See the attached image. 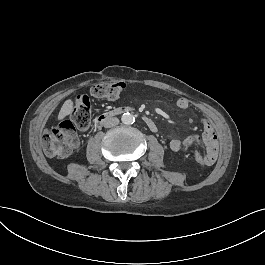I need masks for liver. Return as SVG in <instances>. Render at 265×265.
<instances>
[{
	"mask_svg": "<svg viewBox=\"0 0 265 265\" xmlns=\"http://www.w3.org/2000/svg\"><path fill=\"white\" fill-rule=\"evenodd\" d=\"M73 111H74V100L72 98H69L63 103L57 115V121L59 122L63 121L67 116L72 114Z\"/></svg>",
	"mask_w": 265,
	"mask_h": 265,
	"instance_id": "obj_1",
	"label": "liver"
}]
</instances>
